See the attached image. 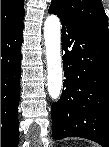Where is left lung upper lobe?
<instances>
[{
  "label": "left lung upper lobe",
  "mask_w": 109,
  "mask_h": 147,
  "mask_svg": "<svg viewBox=\"0 0 109 147\" xmlns=\"http://www.w3.org/2000/svg\"><path fill=\"white\" fill-rule=\"evenodd\" d=\"M80 26L109 38L108 18L100 0H52L50 8ZM71 91H79L80 74L75 71L66 78Z\"/></svg>",
  "instance_id": "1"
}]
</instances>
